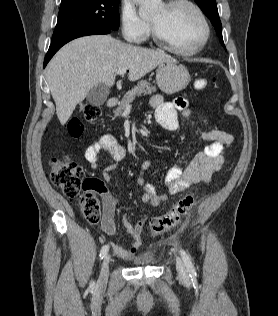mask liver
Returning a JSON list of instances; mask_svg holds the SVG:
<instances>
[{"instance_id": "obj_1", "label": "liver", "mask_w": 278, "mask_h": 316, "mask_svg": "<svg viewBox=\"0 0 278 316\" xmlns=\"http://www.w3.org/2000/svg\"><path fill=\"white\" fill-rule=\"evenodd\" d=\"M172 57L162 51L123 43L110 35L75 39L61 48L47 67V81L64 125L76 105L99 84L112 87L119 69H128V79L137 81Z\"/></svg>"}]
</instances>
